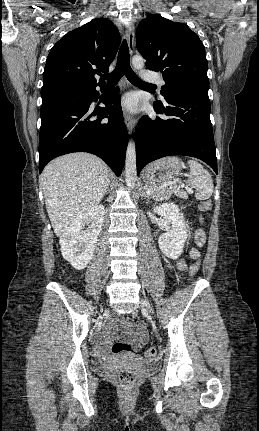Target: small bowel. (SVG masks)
<instances>
[{
    "label": "small bowel",
    "instance_id": "small-bowel-1",
    "mask_svg": "<svg viewBox=\"0 0 259 431\" xmlns=\"http://www.w3.org/2000/svg\"><path fill=\"white\" fill-rule=\"evenodd\" d=\"M195 243L197 246H202L205 242V235L201 229H197L194 235ZM190 256L193 259L199 258V252L196 248H192ZM171 268H176L183 271L186 267L183 259L175 261L170 264ZM117 331L120 336L125 339L134 350H139L146 339L145 328L142 324L136 323L125 327L119 320H114L104 325L97 334L96 344L100 353H105L107 346L112 341L111 332Z\"/></svg>",
    "mask_w": 259,
    "mask_h": 431
}]
</instances>
